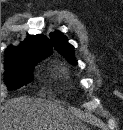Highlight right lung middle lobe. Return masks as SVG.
Returning a JSON list of instances; mask_svg holds the SVG:
<instances>
[{"mask_svg":"<svg viewBox=\"0 0 123 130\" xmlns=\"http://www.w3.org/2000/svg\"><path fill=\"white\" fill-rule=\"evenodd\" d=\"M48 55L22 56L6 61L5 81L9 90H15L30 82L37 62Z\"/></svg>","mask_w":123,"mask_h":130,"instance_id":"dd1d6c3e","label":"right lung middle lobe"}]
</instances>
